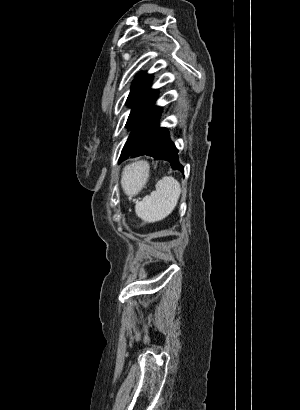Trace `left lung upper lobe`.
I'll list each match as a JSON object with an SVG mask.
<instances>
[{"label":"left lung upper lobe","mask_w":300,"mask_h":410,"mask_svg":"<svg viewBox=\"0 0 300 410\" xmlns=\"http://www.w3.org/2000/svg\"><path fill=\"white\" fill-rule=\"evenodd\" d=\"M151 81V75L145 72L139 73L133 81L127 99L131 112L126 124L131 132L122 149L120 162L143 146L159 127L161 107L154 105L158 92L150 89Z\"/></svg>","instance_id":"5c2ea615"}]
</instances>
